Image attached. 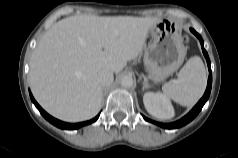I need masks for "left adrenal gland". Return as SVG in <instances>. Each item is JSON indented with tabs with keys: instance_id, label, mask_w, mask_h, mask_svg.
<instances>
[{
	"instance_id": "a2214340",
	"label": "left adrenal gland",
	"mask_w": 238,
	"mask_h": 158,
	"mask_svg": "<svg viewBox=\"0 0 238 158\" xmlns=\"http://www.w3.org/2000/svg\"><path fill=\"white\" fill-rule=\"evenodd\" d=\"M148 87H149V85L147 84V82L143 81L142 90L144 91V90L147 89Z\"/></svg>"
}]
</instances>
